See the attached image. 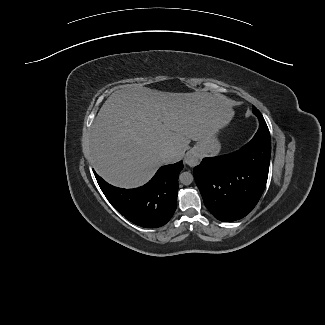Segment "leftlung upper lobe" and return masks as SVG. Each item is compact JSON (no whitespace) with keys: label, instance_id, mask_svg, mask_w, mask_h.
Wrapping results in <instances>:
<instances>
[{"label":"left lung upper lobe","instance_id":"left-lung-upper-lobe-1","mask_svg":"<svg viewBox=\"0 0 325 325\" xmlns=\"http://www.w3.org/2000/svg\"><path fill=\"white\" fill-rule=\"evenodd\" d=\"M253 113H254V114H261V113L259 112V110H257V108H256L255 106H253Z\"/></svg>","mask_w":325,"mask_h":325}]
</instances>
